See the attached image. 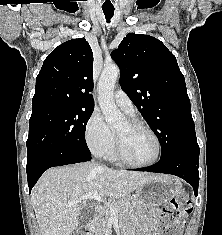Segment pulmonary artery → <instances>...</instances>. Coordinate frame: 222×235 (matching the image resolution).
<instances>
[{
  "label": "pulmonary artery",
  "mask_w": 222,
  "mask_h": 235,
  "mask_svg": "<svg viewBox=\"0 0 222 235\" xmlns=\"http://www.w3.org/2000/svg\"><path fill=\"white\" fill-rule=\"evenodd\" d=\"M114 100L117 106H119L125 113L128 115H134V105L123 90L119 89L115 91Z\"/></svg>",
  "instance_id": "obj_1"
}]
</instances>
